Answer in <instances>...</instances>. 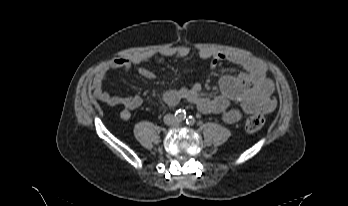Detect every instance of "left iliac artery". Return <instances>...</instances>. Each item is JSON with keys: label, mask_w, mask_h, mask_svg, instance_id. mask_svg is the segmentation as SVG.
I'll return each instance as SVG.
<instances>
[{"label": "left iliac artery", "mask_w": 348, "mask_h": 206, "mask_svg": "<svg viewBox=\"0 0 348 206\" xmlns=\"http://www.w3.org/2000/svg\"><path fill=\"white\" fill-rule=\"evenodd\" d=\"M194 122H195V118H194L193 116L190 115V116L187 117L186 123H187L188 125H193Z\"/></svg>", "instance_id": "left-iliac-artery-1"}]
</instances>
